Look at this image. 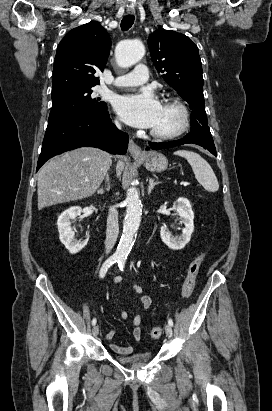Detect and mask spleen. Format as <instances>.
<instances>
[{
	"label": "spleen",
	"mask_w": 272,
	"mask_h": 411,
	"mask_svg": "<svg viewBox=\"0 0 272 411\" xmlns=\"http://www.w3.org/2000/svg\"><path fill=\"white\" fill-rule=\"evenodd\" d=\"M174 154L188 161L192 167L195 178L205 190L208 192H216L219 190V183L211 166L198 153L188 150H178L175 151Z\"/></svg>",
	"instance_id": "3e777b00"
}]
</instances>
